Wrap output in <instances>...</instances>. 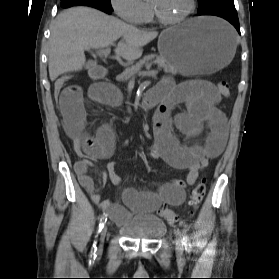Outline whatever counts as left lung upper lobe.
Segmentation results:
<instances>
[{"mask_svg": "<svg viewBox=\"0 0 279 279\" xmlns=\"http://www.w3.org/2000/svg\"><path fill=\"white\" fill-rule=\"evenodd\" d=\"M223 1H233V0H198L199 7H200L199 11L207 8L208 6H210V5L214 4V3L223 2Z\"/></svg>", "mask_w": 279, "mask_h": 279, "instance_id": "1", "label": "left lung upper lobe"}]
</instances>
